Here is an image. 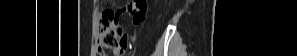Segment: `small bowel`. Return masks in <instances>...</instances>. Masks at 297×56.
I'll use <instances>...</instances> for the list:
<instances>
[{"mask_svg": "<svg viewBox=\"0 0 297 56\" xmlns=\"http://www.w3.org/2000/svg\"><path fill=\"white\" fill-rule=\"evenodd\" d=\"M131 33H122L121 40H119V47L115 48V52L119 53L122 52L123 49H128L130 41Z\"/></svg>", "mask_w": 297, "mask_h": 56, "instance_id": "obj_1", "label": "small bowel"}]
</instances>
